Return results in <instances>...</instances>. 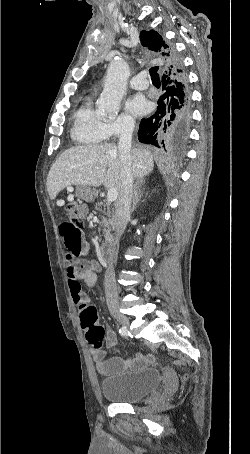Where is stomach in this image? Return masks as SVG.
<instances>
[{
  "label": "stomach",
  "instance_id": "stomach-1",
  "mask_svg": "<svg viewBox=\"0 0 250 454\" xmlns=\"http://www.w3.org/2000/svg\"><path fill=\"white\" fill-rule=\"evenodd\" d=\"M77 196L78 198L85 200L87 202L94 201L96 197V192L94 189L90 188L89 186H78L77 189Z\"/></svg>",
  "mask_w": 250,
  "mask_h": 454
}]
</instances>
